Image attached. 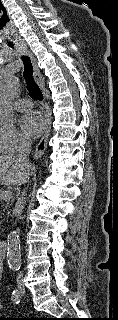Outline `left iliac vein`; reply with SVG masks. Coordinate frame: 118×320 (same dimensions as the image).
Masks as SVG:
<instances>
[{"instance_id":"left-iliac-vein-1","label":"left iliac vein","mask_w":118,"mask_h":320,"mask_svg":"<svg viewBox=\"0 0 118 320\" xmlns=\"http://www.w3.org/2000/svg\"><path fill=\"white\" fill-rule=\"evenodd\" d=\"M19 290H20V294H21V295H23V294L25 293V289H24L22 283L19 284Z\"/></svg>"}]
</instances>
